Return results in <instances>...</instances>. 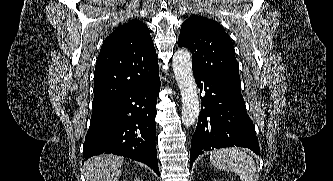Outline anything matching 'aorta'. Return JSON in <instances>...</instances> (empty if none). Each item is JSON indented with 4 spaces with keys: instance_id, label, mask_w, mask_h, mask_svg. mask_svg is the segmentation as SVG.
<instances>
[{
    "instance_id": "1",
    "label": "aorta",
    "mask_w": 333,
    "mask_h": 181,
    "mask_svg": "<svg viewBox=\"0 0 333 181\" xmlns=\"http://www.w3.org/2000/svg\"><path fill=\"white\" fill-rule=\"evenodd\" d=\"M172 66L182 98V122L188 127L196 122L200 113L190 53L185 49L177 50L172 59Z\"/></svg>"
}]
</instances>
